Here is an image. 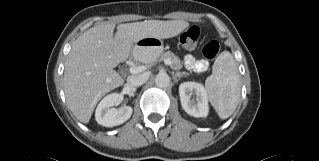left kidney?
<instances>
[{
	"label": "left kidney",
	"mask_w": 319,
	"mask_h": 161,
	"mask_svg": "<svg viewBox=\"0 0 319 161\" xmlns=\"http://www.w3.org/2000/svg\"><path fill=\"white\" fill-rule=\"evenodd\" d=\"M196 95V99L192 95ZM182 108L193 117H206L209 112L207 93L204 86L197 82H184L179 86Z\"/></svg>",
	"instance_id": "left-kidney-1"
}]
</instances>
